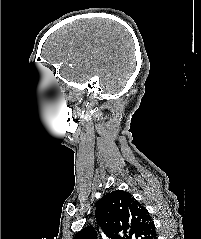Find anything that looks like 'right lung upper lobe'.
I'll use <instances>...</instances> for the list:
<instances>
[{"label": "right lung upper lobe", "mask_w": 201, "mask_h": 239, "mask_svg": "<svg viewBox=\"0 0 201 239\" xmlns=\"http://www.w3.org/2000/svg\"><path fill=\"white\" fill-rule=\"evenodd\" d=\"M95 217L111 239H155L154 223L148 211L130 193L116 190L107 193L96 205ZM73 239H97L92 226Z\"/></svg>", "instance_id": "right-lung-upper-lobe-1"}]
</instances>
